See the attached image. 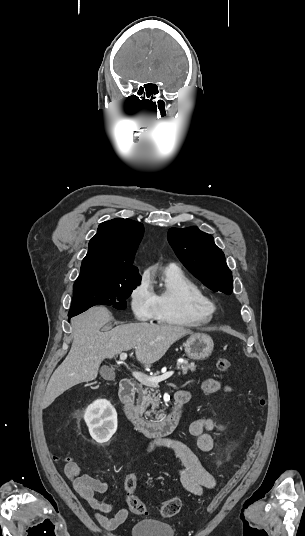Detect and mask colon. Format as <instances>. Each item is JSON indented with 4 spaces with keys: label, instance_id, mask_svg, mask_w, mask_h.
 Listing matches in <instances>:
<instances>
[{
    "label": "colon",
    "instance_id": "colon-1",
    "mask_svg": "<svg viewBox=\"0 0 305 536\" xmlns=\"http://www.w3.org/2000/svg\"><path fill=\"white\" fill-rule=\"evenodd\" d=\"M231 361L228 358H220L216 362V367L222 372H226L230 369ZM259 406H265V399L261 397L259 399ZM261 431L258 430L255 434V437L252 441L251 446L247 450V453L244 457L239 468L235 471L232 477L224 484V486L214 495L211 503L209 504V511L214 512L219 505L222 503L227 494L244 478L249 469L252 466L254 458L256 456L257 450L261 443ZM125 492H126V503L128 507L137 514H148L149 508L146 503L142 502L137 495L136 488V477L134 474L129 473L125 477ZM181 507V502L177 497H172L164 501L159 507V512L162 517L170 518L178 513Z\"/></svg>",
    "mask_w": 305,
    "mask_h": 536
}]
</instances>
